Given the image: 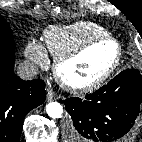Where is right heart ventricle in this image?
I'll list each match as a JSON object with an SVG mask.
<instances>
[{
    "mask_svg": "<svg viewBox=\"0 0 142 142\" xmlns=\"http://www.w3.org/2000/svg\"><path fill=\"white\" fill-rule=\"evenodd\" d=\"M108 35L100 25L81 21L68 26H50L44 32V45L55 58L66 54L91 39Z\"/></svg>",
    "mask_w": 142,
    "mask_h": 142,
    "instance_id": "e07e8e85",
    "label": "right heart ventricle"
}]
</instances>
